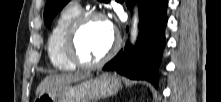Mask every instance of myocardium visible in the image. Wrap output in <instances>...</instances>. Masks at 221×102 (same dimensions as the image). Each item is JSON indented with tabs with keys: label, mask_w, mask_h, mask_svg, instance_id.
Masks as SVG:
<instances>
[{
	"label": "myocardium",
	"mask_w": 221,
	"mask_h": 102,
	"mask_svg": "<svg viewBox=\"0 0 221 102\" xmlns=\"http://www.w3.org/2000/svg\"><path fill=\"white\" fill-rule=\"evenodd\" d=\"M92 19H99L105 21L104 15L100 12L96 11L81 12L71 23L65 38L64 50L67 59L75 66L85 69H93L105 64L115 54L119 45V39L117 35L113 34V41L109 50L100 59L92 62L83 60L78 53L77 38L82 26L87 21Z\"/></svg>",
	"instance_id": "f54148a6"
}]
</instances>
